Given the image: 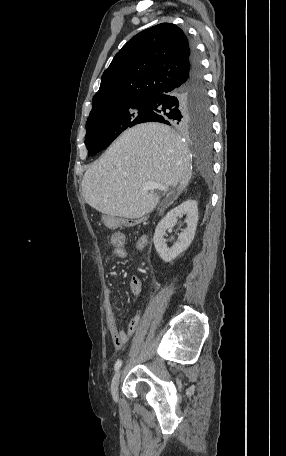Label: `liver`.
<instances>
[{
    "label": "liver",
    "mask_w": 286,
    "mask_h": 456,
    "mask_svg": "<svg viewBox=\"0 0 286 456\" xmlns=\"http://www.w3.org/2000/svg\"><path fill=\"white\" fill-rule=\"evenodd\" d=\"M191 175V154L181 136L167 125L144 123L122 133L86 171L82 192L97 211L135 219L159 202L157 194L142 191L145 182L182 190Z\"/></svg>",
    "instance_id": "obj_1"
}]
</instances>
